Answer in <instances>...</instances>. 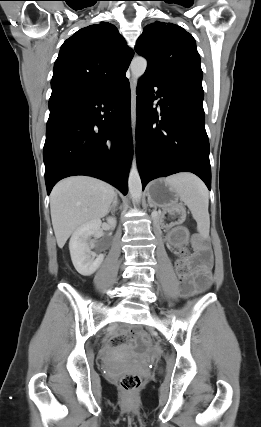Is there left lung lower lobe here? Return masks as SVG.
<instances>
[{
  "mask_svg": "<svg viewBox=\"0 0 261 427\" xmlns=\"http://www.w3.org/2000/svg\"><path fill=\"white\" fill-rule=\"evenodd\" d=\"M137 94L136 154L143 189L155 178L187 171L211 190L203 90L142 76ZM157 98L159 111L152 107Z\"/></svg>",
  "mask_w": 261,
  "mask_h": 427,
  "instance_id": "0a47b994",
  "label": "left lung lower lobe"
}]
</instances>
